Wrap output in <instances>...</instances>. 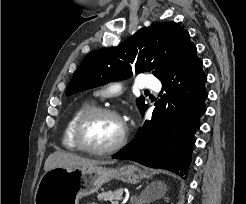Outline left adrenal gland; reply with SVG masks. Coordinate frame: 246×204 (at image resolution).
I'll use <instances>...</instances> for the list:
<instances>
[{"mask_svg": "<svg viewBox=\"0 0 246 204\" xmlns=\"http://www.w3.org/2000/svg\"><path fill=\"white\" fill-rule=\"evenodd\" d=\"M148 202V195L146 194V191H143L140 196V200L138 204H143ZM131 204H137L135 197L131 198Z\"/></svg>", "mask_w": 246, "mask_h": 204, "instance_id": "left-adrenal-gland-1", "label": "left adrenal gland"}]
</instances>
